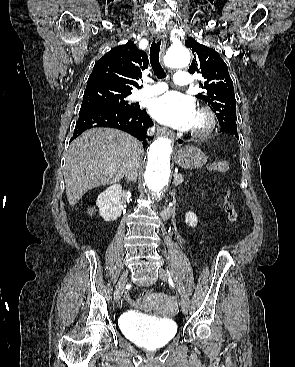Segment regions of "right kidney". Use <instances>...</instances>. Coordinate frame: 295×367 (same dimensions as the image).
<instances>
[{
    "instance_id": "right-kidney-1",
    "label": "right kidney",
    "mask_w": 295,
    "mask_h": 367,
    "mask_svg": "<svg viewBox=\"0 0 295 367\" xmlns=\"http://www.w3.org/2000/svg\"><path fill=\"white\" fill-rule=\"evenodd\" d=\"M121 192V185L114 184L98 196L96 205L98 206L99 214L104 221H115L121 216L123 211Z\"/></svg>"
}]
</instances>
